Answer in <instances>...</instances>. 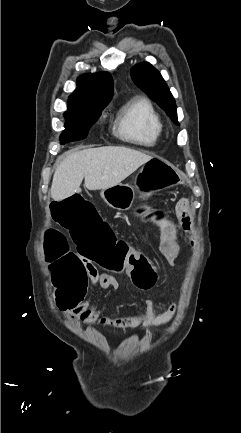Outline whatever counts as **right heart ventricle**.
I'll use <instances>...</instances> for the list:
<instances>
[{"label":"right heart ventricle","instance_id":"obj_1","mask_svg":"<svg viewBox=\"0 0 241 433\" xmlns=\"http://www.w3.org/2000/svg\"><path fill=\"white\" fill-rule=\"evenodd\" d=\"M162 121L153 104L145 97H133L119 109L114 130L129 143L152 147L162 134Z\"/></svg>","mask_w":241,"mask_h":433}]
</instances>
